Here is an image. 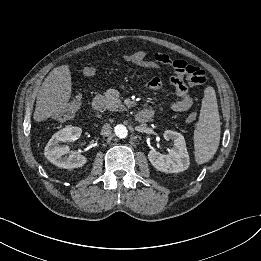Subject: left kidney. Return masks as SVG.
<instances>
[{
	"instance_id": "1",
	"label": "left kidney",
	"mask_w": 261,
	"mask_h": 261,
	"mask_svg": "<svg viewBox=\"0 0 261 261\" xmlns=\"http://www.w3.org/2000/svg\"><path fill=\"white\" fill-rule=\"evenodd\" d=\"M165 140H173L174 146L168 155H163L152 149L148 153V159L158 171L165 173H179L189 167V155L186 149L185 139L182 134L166 130L164 132Z\"/></svg>"
}]
</instances>
